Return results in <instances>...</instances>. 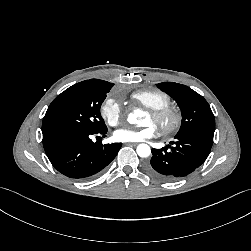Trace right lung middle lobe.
<instances>
[{
	"instance_id": "dd1d6c3e",
	"label": "right lung middle lobe",
	"mask_w": 251,
	"mask_h": 251,
	"mask_svg": "<svg viewBox=\"0 0 251 251\" xmlns=\"http://www.w3.org/2000/svg\"><path fill=\"white\" fill-rule=\"evenodd\" d=\"M113 85L83 81L69 87L48 107L42 122V132L51 129L99 132L107 128L100 107Z\"/></svg>"
}]
</instances>
